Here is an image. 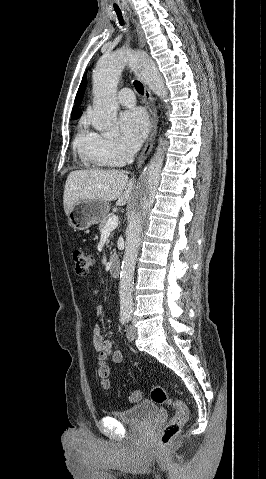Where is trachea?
Listing matches in <instances>:
<instances>
[{
  "instance_id": "1",
  "label": "trachea",
  "mask_w": 266,
  "mask_h": 479,
  "mask_svg": "<svg viewBox=\"0 0 266 479\" xmlns=\"http://www.w3.org/2000/svg\"><path fill=\"white\" fill-rule=\"evenodd\" d=\"M115 12H116V14H117V16H118L119 23H120L121 25H124V20H123V18H122V13H121V11H120L119 9H115ZM134 87H135L136 91H137L139 94H144V87H143V85H142V83H141L140 81L135 80V81H134Z\"/></svg>"
}]
</instances>
